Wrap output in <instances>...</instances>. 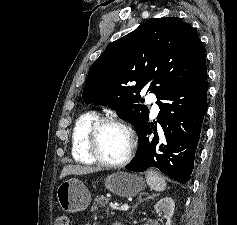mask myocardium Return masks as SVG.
Instances as JSON below:
<instances>
[{"label": "myocardium", "instance_id": "f54148a6", "mask_svg": "<svg viewBox=\"0 0 237 225\" xmlns=\"http://www.w3.org/2000/svg\"><path fill=\"white\" fill-rule=\"evenodd\" d=\"M108 125H114L122 128L129 137V149L126 156L117 162H112L105 159L100 151L99 147V134L101 130ZM87 147L90 155L97 161L99 164L104 165L110 168H121L126 166L134 156L137 147V138L133 128L126 122L113 118V117H102L96 120L91 128L89 129L87 135Z\"/></svg>", "mask_w": 237, "mask_h": 225}]
</instances>
